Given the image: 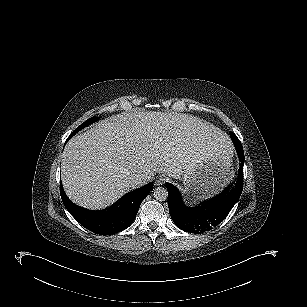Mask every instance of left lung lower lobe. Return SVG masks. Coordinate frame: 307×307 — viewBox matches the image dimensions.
Instances as JSON below:
<instances>
[{
    "mask_svg": "<svg viewBox=\"0 0 307 307\" xmlns=\"http://www.w3.org/2000/svg\"><path fill=\"white\" fill-rule=\"evenodd\" d=\"M239 175L234 188L227 187L217 196L201 202L195 207L183 204L179 190L167 183L169 213L175 225L189 233L208 232L219 225L229 214L243 190L244 152L238 151Z\"/></svg>",
    "mask_w": 307,
    "mask_h": 307,
    "instance_id": "0a47b994",
    "label": "left lung lower lobe"
}]
</instances>
